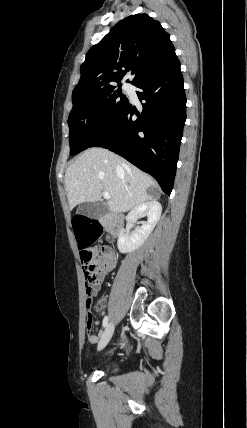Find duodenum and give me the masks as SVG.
I'll return each mask as SVG.
<instances>
[{"label": "duodenum", "mask_w": 247, "mask_h": 428, "mask_svg": "<svg viewBox=\"0 0 247 428\" xmlns=\"http://www.w3.org/2000/svg\"><path fill=\"white\" fill-rule=\"evenodd\" d=\"M104 222L114 237L120 234L123 227V219L120 215L109 213L104 217Z\"/></svg>", "instance_id": "obj_1"}]
</instances>
